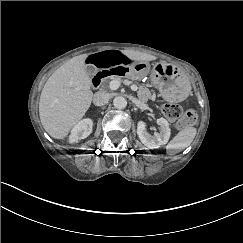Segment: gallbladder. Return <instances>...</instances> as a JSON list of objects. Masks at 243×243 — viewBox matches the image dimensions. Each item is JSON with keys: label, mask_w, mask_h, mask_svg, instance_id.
Masks as SVG:
<instances>
[{"label": "gallbladder", "mask_w": 243, "mask_h": 243, "mask_svg": "<svg viewBox=\"0 0 243 243\" xmlns=\"http://www.w3.org/2000/svg\"><path fill=\"white\" fill-rule=\"evenodd\" d=\"M96 70H97V67L95 65L86 66V72L89 77H92Z\"/></svg>", "instance_id": "gallbladder-1"}]
</instances>
